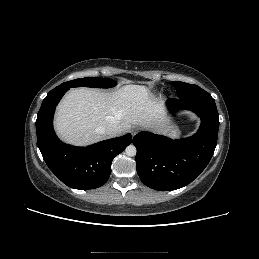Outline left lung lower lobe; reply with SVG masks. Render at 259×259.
I'll list each match as a JSON object with an SVG mask.
<instances>
[{
    "label": "left lung lower lobe",
    "instance_id": "1",
    "mask_svg": "<svg viewBox=\"0 0 259 259\" xmlns=\"http://www.w3.org/2000/svg\"><path fill=\"white\" fill-rule=\"evenodd\" d=\"M169 102L171 112H195L201 125L193 136L178 140L145 131L134 136L137 173L146 186L161 191L184 187L205 169L213 156L219 128V115L211 96L170 98Z\"/></svg>",
    "mask_w": 259,
    "mask_h": 259
}]
</instances>
